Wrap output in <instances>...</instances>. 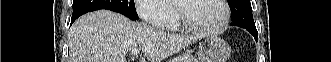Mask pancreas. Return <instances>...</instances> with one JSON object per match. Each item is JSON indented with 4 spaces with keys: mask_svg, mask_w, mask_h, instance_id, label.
<instances>
[{
    "mask_svg": "<svg viewBox=\"0 0 331 62\" xmlns=\"http://www.w3.org/2000/svg\"><path fill=\"white\" fill-rule=\"evenodd\" d=\"M179 59L180 61H177ZM177 62H197L196 58L191 54H183L180 58L175 59Z\"/></svg>",
    "mask_w": 331,
    "mask_h": 62,
    "instance_id": "obj_1",
    "label": "pancreas"
}]
</instances>
